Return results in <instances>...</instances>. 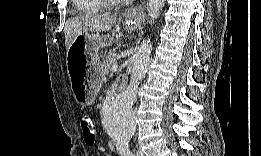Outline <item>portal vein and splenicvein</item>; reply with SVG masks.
<instances>
[{"label": "portal vein and splenic vein", "mask_w": 261, "mask_h": 156, "mask_svg": "<svg viewBox=\"0 0 261 156\" xmlns=\"http://www.w3.org/2000/svg\"><path fill=\"white\" fill-rule=\"evenodd\" d=\"M117 69H118V65L117 64L112 65V67H111V71L112 72L117 71Z\"/></svg>", "instance_id": "18ae733b"}]
</instances>
